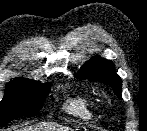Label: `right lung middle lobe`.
Masks as SVG:
<instances>
[{
    "mask_svg": "<svg viewBox=\"0 0 147 131\" xmlns=\"http://www.w3.org/2000/svg\"><path fill=\"white\" fill-rule=\"evenodd\" d=\"M50 91V84L31 79H15L6 85L5 96L0 102V127L15 117L38 112Z\"/></svg>",
    "mask_w": 147,
    "mask_h": 131,
    "instance_id": "right-lung-middle-lobe-1",
    "label": "right lung middle lobe"
}]
</instances>
